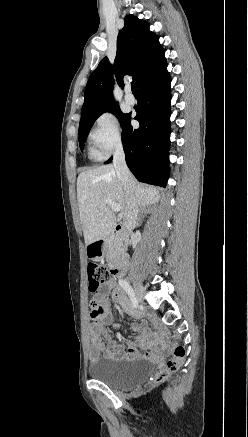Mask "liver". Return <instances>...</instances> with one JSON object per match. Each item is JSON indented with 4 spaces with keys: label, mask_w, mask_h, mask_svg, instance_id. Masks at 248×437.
Returning <instances> with one entry per match:
<instances>
[{
    "label": "liver",
    "mask_w": 248,
    "mask_h": 437,
    "mask_svg": "<svg viewBox=\"0 0 248 437\" xmlns=\"http://www.w3.org/2000/svg\"><path fill=\"white\" fill-rule=\"evenodd\" d=\"M134 192L142 208L155 204L160 199L158 190L144 188L135 179ZM106 198L120 205L121 215L125 218L128 198L114 166H99L79 174L77 200L86 245L106 238L116 225L115 214L105 202Z\"/></svg>",
    "instance_id": "obj_1"
}]
</instances>
